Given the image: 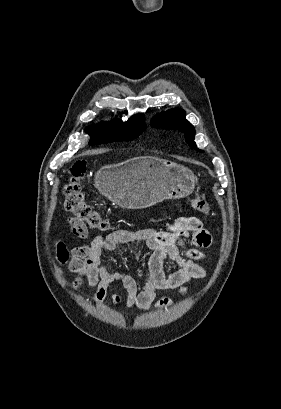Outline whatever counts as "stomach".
<instances>
[{
	"label": "stomach",
	"mask_w": 281,
	"mask_h": 409,
	"mask_svg": "<svg viewBox=\"0 0 281 409\" xmlns=\"http://www.w3.org/2000/svg\"><path fill=\"white\" fill-rule=\"evenodd\" d=\"M95 186L123 209H147L165 198H183L196 186L194 172L158 156H135L107 164L95 174Z\"/></svg>",
	"instance_id": "0dacf381"
}]
</instances>
